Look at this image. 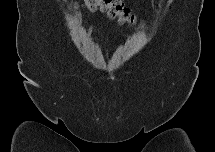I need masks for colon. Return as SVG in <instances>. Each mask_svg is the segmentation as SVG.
Listing matches in <instances>:
<instances>
[{"label": "colon", "mask_w": 215, "mask_h": 152, "mask_svg": "<svg viewBox=\"0 0 215 152\" xmlns=\"http://www.w3.org/2000/svg\"><path fill=\"white\" fill-rule=\"evenodd\" d=\"M84 6L91 11L100 10L106 12L111 18H116L119 23L133 26L136 17L118 0H86Z\"/></svg>", "instance_id": "colon-1"}]
</instances>
